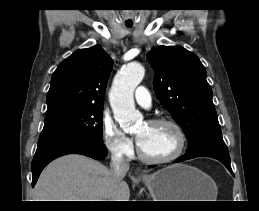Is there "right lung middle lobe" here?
<instances>
[{
	"label": "right lung middle lobe",
	"mask_w": 259,
	"mask_h": 211,
	"mask_svg": "<svg viewBox=\"0 0 259 211\" xmlns=\"http://www.w3.org/2000/svg\"><path fill=\"white\" fill-rule=\"evenodd\" d=\"M103 106L87 107L44 123L39 140L75 136L103 143Z\"/></svg>",
	"instance_id": "1"
}]
</instances>
